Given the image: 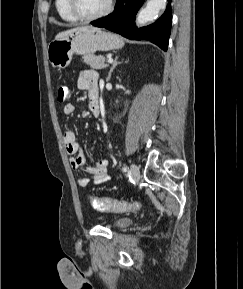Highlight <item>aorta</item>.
I'll use <instances>...</instances> for the list:
<instances>
[{
    "label": "aorta",
    "mask_w": 243,
    "mask_h": 289,
    "mask_svg": "<svg viewBox=\"0 0 243 289\" xmlns=\"http://www.w3.org/2000/svg\"><path fill=\"white\" fill-rule=\"evenodd\" d=\"M166 0H149L146 6L138 13L136 23L144 25L157 18L159 12L165 7Z\"/></svg>",
    "instance_id": "1"
}]
</instances>
